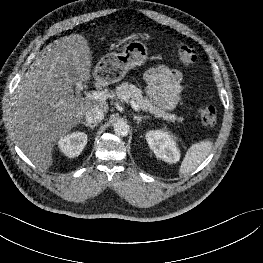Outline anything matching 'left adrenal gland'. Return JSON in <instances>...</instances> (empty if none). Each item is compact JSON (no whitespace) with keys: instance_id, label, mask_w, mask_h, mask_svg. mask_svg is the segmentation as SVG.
<instances>
[{"instance_id":"1","label":"left adrenal gland","mask_w":263,"mask_h":263,"mask_svg":"<svg viewBox=\"0 0 263 263\" xmlns=\"http://www.w3.org/2000/svg\"><path fill=\"white\" fill-rule=\"evenodd\" d=\"M150 117L149 116H137V115H134L133 119L137 121V124H139L142 120H146V119H149Z\"/></svg>"}]
</instances>
